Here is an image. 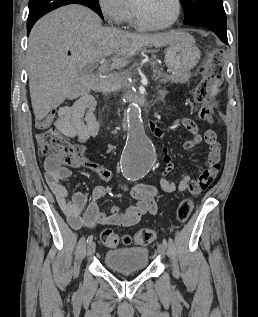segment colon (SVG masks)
I'll use <instances>...</instances> for the list:
<instances>
[{
    "label": "colon",
    "instance_id": "1",
    "mask_svg": "<svg viewBox=\"0 0 258 317\" xmlns=\"http://www.w3.org/2000/svg\"><path fill=\"white\" fill-rule=\"evenodd\" d=\"M218 80L219 73L214 68L193 92L192 99L196 105L195 111L201 120H214V110L207 102L210 98L211 87ZM38 150L41 155L56 156L70 166H79L84 159V149L69 142L56 129H46L38 135ZM193 209L194 201L192 199L188 198L181 201L177 208L178 220L185 222L190 217ZM156 237V231L150 228H143L134 235L120 236L111 229H105L101 234V240L108 248H115L119 244L144 246L153 242Z\"/></svg>",
    "mask_w": 258,
    "mask_h": 317
}]
</instances>
